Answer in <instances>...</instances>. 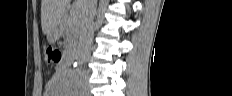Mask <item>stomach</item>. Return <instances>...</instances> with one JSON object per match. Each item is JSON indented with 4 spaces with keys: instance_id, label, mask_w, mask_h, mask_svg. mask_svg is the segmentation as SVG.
Returning <instances> with one entry per match:
<instances>
[{
    "instance_id": "1",
    "label": "stomach",
    "mask_w": 232,
    "mask_h": 96,
    "mask_svg": "<svg viewBox=\"0 0 232 96\" xmlns=\"http://www.w3.org/2000/svg\"><path fill=\"white\" fill-rule=\"evenodd\" d=\"M61 29L59 27H56L51 32L47 34V39L49 43H55L58 41L61 37Z\"/></svg>"
}]
</instances>
